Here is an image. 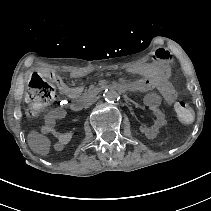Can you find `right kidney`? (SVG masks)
<instances>
[{
	"label": "right kidney",
	"mask_w": 211,
	"mask_h": 211,
	"mask_svg": "<svg viewBox=\"0 0 211 211\" xmlns=\"http://www.w3.org/2000/svg\"><path fill=\"white\" fill-rule=\"evenodd\" d=\"M65 117V110L58 109L47 115L46 123L48 128L51 129L54 138L58 139V141L64 145H69L72 142V137L64 131L61 125H59V122L64 120Z\"/></svg>",
	"instance_id": "right-kidney-1"
}]
</instances>
